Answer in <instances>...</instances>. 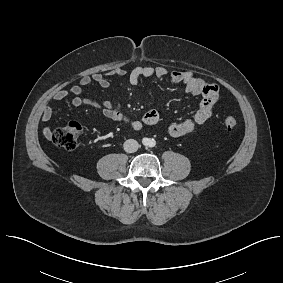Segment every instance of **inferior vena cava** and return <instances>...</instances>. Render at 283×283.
Wrapping results in <instances>:
<instances>
[{
	"label": "inferior vena cava",
	"mask_w": 283,
	"mask_h": 283,
	"mask_svg": "<svg viewBox=\"0 0 283 283\" xmlns=\"http://www.w3.org/2000/svg\"><path fill=\"white\" fill-rule=\"evenodd\" d=\"M123 147L127 153H134L138 150L139 143L134 139H128L124 142Z\"/></svg>",
	"instance_id": "obj_1"
}]
</instances>
